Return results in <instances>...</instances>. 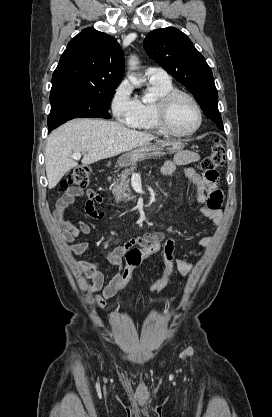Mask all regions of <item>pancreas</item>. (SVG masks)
Listing matches in <instances>:
<instances>
[{
	"mask_svg": "<svg viewBox=\"0 0 272 417\" xmlns=\"http://www.w3.org/2000/svg\"><path fill=\"white\" fill-rule=\"evenodd\" d=\"M136 169V164L130 166L129 169H125L120 175L117 184L113 185L112 194L116 201H129L133 200L134 196L131 195L129 189V176Z\"/></svg>",
	"mask_w": 272,
	"mask_h": 417,
	"instance_id": "pancreas-1",
	"label": "pancreas"
}]
</instances>
